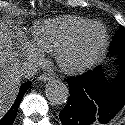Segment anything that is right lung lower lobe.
<instances>
[{
  "label": "right lung lower lobe",
  "mask_w": 125,
  "mask_h": 125,
  "mask_svg": "<svg viewBox=\"0 0 125 125\" xmlns=\"http://www.w3.org/2000/svg\"><path fill=\"white\" fill-rule=\"evenodd\" d=\"M31 82H25L20 86L19 93L9 111L0 119V125H12L25 92L30 88Z\"/></svg>",
  "instance_id": "obj_1"
}]
</instances>
